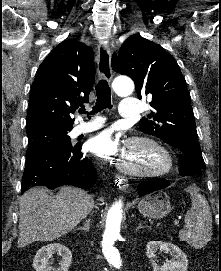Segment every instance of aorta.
<instances>
[{"label":"aorta","instance_id":"obj_1","mask_svg":"<svg viewBox=\"0 0 221 271\" xmlns=\"http://www.w3.org/2000/svg\"><path fill=\"white\" fill-rule=\"evenodd\" d=\"M114 91L121 96H128L134 90V83L126 77H118L113 81ZM122 200L116 201L108 210L106 218V228L103 234L102 251L108 263L115 268L122 265L120 253L114 247L115 241L120 236V225L122 221Z\"/></svg>","mask_w":221,"mask_h":271}]
</instances>
